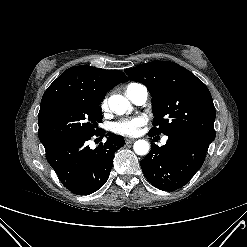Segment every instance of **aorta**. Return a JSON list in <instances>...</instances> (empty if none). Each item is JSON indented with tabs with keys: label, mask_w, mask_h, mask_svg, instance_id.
I'll return each instance as SVG.
<instances>
[{
	"label": "aorta",
	"mask_w": 247,
	"mask_h": 247,
	"mask_svg": "<svg viewBox=\"0 0 247 247\" xmlns=\"http://www.w3.org/2000/svg\"><path fill=\"white\" fill-rule=\"evenodd\" d=\"M109 108L112 112L121 115L125 113L129 107L130 102L122 95H112L108 100ZM133 149L137 155H146L150 150V144L146 140H138L134 143Z\"/></svg>",
	"instance_id": "obj_1"
}]
</instances>
